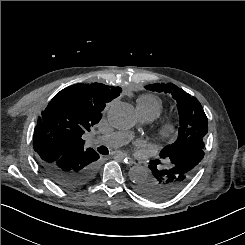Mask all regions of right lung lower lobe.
I'll use <instances>...</instances> for the list:
<instances>
[{
	"mask_svg": "<svg viewBox=\"0 0 245 245\" xmlns=\"http://www.w3.org/2000/svg\"><path fill=\"white\" fill-rule=\"evenodd\" d=\"M98 159V153L91 150L66 154L53 163L39 161V164L54 183L65 189H75L95 177Z\"/></svg>",
	"mask_w": 245,
	"mask_h": 245,
	"instance_id": "1",
	"label": "right lung lower lobe"
}]
</instances>
